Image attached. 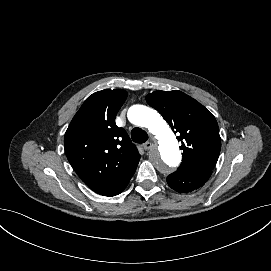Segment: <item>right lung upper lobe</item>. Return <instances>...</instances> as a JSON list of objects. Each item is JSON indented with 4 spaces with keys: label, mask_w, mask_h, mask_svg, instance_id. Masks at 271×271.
Listing matches in <instances>:
<instances>
[{
    "label": "right lung upper lobe",
    "mask_w": 271,
    "mask_h": 271,
    "mask_svg": "<svg viewBox=\"0 0 271 271\" xmlns=\"http://www.w3.org/2000/svg\"><path fill=\"white\" fill-rule=\"evenodd\" d=\"M125 90L105 89L89 96L73 117L64 137L68 161L84 183L104 195L135 171L140 154L115 117Z\"/></svg>",
    "instance_id": "obj_1"
}]
</instances>
